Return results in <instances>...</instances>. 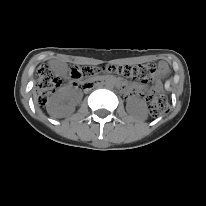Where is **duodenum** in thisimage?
<instances>
[{
	"label": "duodenum",
	"instance_id": "410a0bca",
	"mask_svg": "<svg viewBox=\"0 0 206 206\" xmlns=\"http://www.w3.org/2000/svg\"><path fill=\"white\" fill-rule=\"evenodd\" d=\"M104 81H105L104 78H99V79H96V80H93V81H89V82L83 84V88L86 89V90H90L94 87V85L96 83H101V82H104ZM116 83H117L119 89H124L125 88V83L124 82H120L119 80H116Z\"/></svg>",
	"mask_w": 206,
	"mask_h": 206
}]
</instances>
